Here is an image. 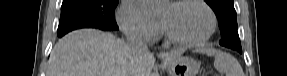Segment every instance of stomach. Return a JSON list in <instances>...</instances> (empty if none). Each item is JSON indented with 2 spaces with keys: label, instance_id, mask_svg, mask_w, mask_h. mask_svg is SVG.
Here are the masks:
<instances>
[{
  "label": "stomach",
  "instance_id": "obj_1",
  "mask_svg": "<svg viewBox=\"0 0 287 76\" xmlns=\"http://www.w3.org/2000/svg\"><path fill=\"white\" fill-rule=\"evenodd\" d=\"M199 63L189 57H177L168 65L170 76H196Z\"/></svg>",
  "mask_w": 287,
  "mask_h": 76
}]
</instances>
